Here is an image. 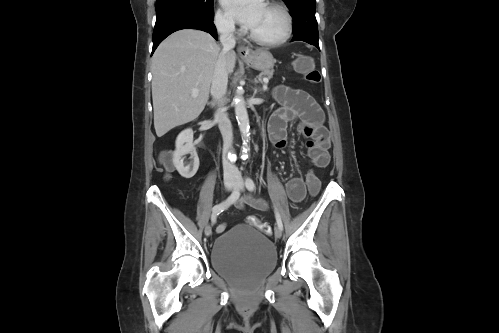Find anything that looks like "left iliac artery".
Listing matches in <instances>:
<instances>
[{
  "label": "left iliac artery",
  "instance_id": "obj_1",
  "mask_svg": "<svg viewBox=\"0 0 499 333\" xmlns=\"http://www.w3.org/2000/svg\"><path fill=\"white\" fill-rule=\"evenodd\" d=\"M245 185H246V188L249 191H253L255 189V183H254V181L250 177L246 178ZM275 217H276V221H277L278 227L281 230H283V223H282L280 214H279V212L276 209H275Z\"/></svg>",
  "mask_w": 499,
  "mask_h": 333
}]
</instances>
